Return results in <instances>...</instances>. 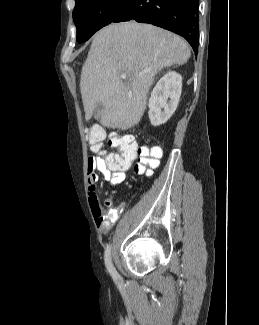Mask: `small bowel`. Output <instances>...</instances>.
I'll return each instance as SVG.
<instances>
[{
    "instance_id": "1",
    "label": "small bowel",
    "mask_w": 259,
    "mask_h": 325,
    "mask_svg": "<svg viewBox=\"0 0 259 325\" xmlns=\"http://www.w3.org/2000/svg\"><path fill=\"white\" fill-rule=\"evenodd\" d=\"M160 149L158 146H153ZM119 157L116 154H102L97 157L88 159V193L89 200L92 205V212L95 217L97 227L100 231H106L111 228L113 221L116 219L115 211L107 213L99 202L97 192L98 173H100L106 181L111 185H118L125 180L126 172L131 168L132 163L124 168L118 166ZM105 205L112 207L114 199L108 197L105 200Z\"/></svg>"
}]
</instances>
